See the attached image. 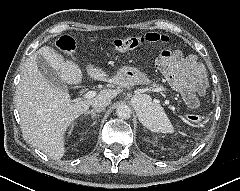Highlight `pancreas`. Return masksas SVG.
I'll list each match as a JSON object with an SVG mask.
<instances>
[{
  "label": "pancreas",
  "mask_w": 240,
  "mask_h": 191,
  "mask_svg": "<svg viewBox=\"0 0 240 191\" xmlns=\"http://www.w3.org/2000/svg\"><path fill=\"white\" fill-rule=\"evenodd\" d=\"M151 87L155 90H159V91H165V88L159 84H156V83H152L151 84Z\"/></svg>",
  "instance_id": "pancreas-1"
}]
</instances>
